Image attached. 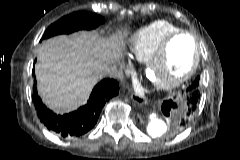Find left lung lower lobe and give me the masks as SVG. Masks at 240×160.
Wrapping results in <instances>:
<instances>
[{"instance_id": "left-lung-lower-lobe-1", "label": "left lung lower lobe", "mask_w": 240, "mask_h": 160, "mask_svg": "<svg viewBox=\"0 0 240 160\" xmlns=\"http://www.w3.org/2000/svg\"><path fill=\"white\" fill-rule=\"evenodd\" d=\"M188 95L186 99L185 106L181 109L180 115L176 117V113L174 114V110L177 108L176 103L173 100H164L162 104V112L166 116H170L175 118L176 128L179 129L180 124H187L189 118H192L193 114L196 111L198 100L200 98L199 90L192 89L190 86L187 89ZM183 128V127H182Z\"/></svg>"}]
</instances>
